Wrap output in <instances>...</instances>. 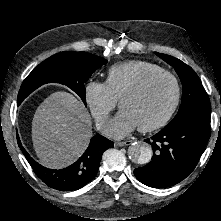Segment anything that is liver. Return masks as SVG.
<instances>
[{
	"instance_id": "obj_1",
	"label": "liver",
	"mask_w": 221,
	"mask_h": 221,
	"mask_svg": "<svg viewBox=\"0 0 221 221\" xmlns=\"http://www.w3.org/2000/svg\"><path fill=\"white\" fill-rule=\"evenodd\" d=\"M92 136V122L84 105L72 94L48 96L32 120V141L40 163L61 169L75 162Z\"/></svg>"
}]
</instances>
